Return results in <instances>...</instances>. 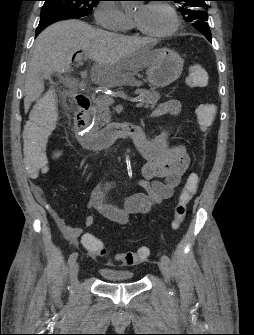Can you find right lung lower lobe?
I'll use <instances>...</instances> for the list:
<instances>
[{"instance_id": "1", "label": "right lung lower lobe", "mask_w": 254, "mask_h": 335, "mask_svg": "<svg viewBox=\"0 0 254 335\" xmlns=\"http://www.w3.org/2000/svg\"><path fill=\"white\" fill-rule=\"evenodd\" d=\"M64 19H74V18L64 14H51L41 17L35 35L37 36L47 26Z\"/></svg>"}]
</instances>
